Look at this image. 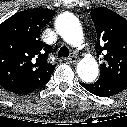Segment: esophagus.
Listing matches in <instances>:
<instances>
[{
    "mask_svg": "<svg viewBox=\"0 0 127 127\" xmlns=\"http://www.w3.org/2000/svg\"><path fill=\"white\" fill-rule=\"evenodd\" d=\"M65 61L67 63H73L74 64L77 62V57L73 55V56H70L69 58H66Z\"/></svg>",
    "mask_w": 127,
    "mask_h": 127,
    "instance_id": "esophagus-1",
    "label": "esophagus"
}]
</instances>
